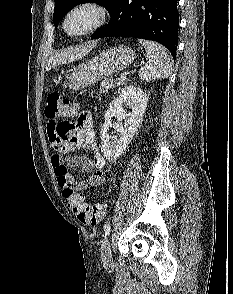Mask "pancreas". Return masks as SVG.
I'll use <instances>...</instances> for the list:
<instances>
[{
    "instance_id": "obj_1",
    "label": "pancreas",
    "mask_w": 233,
    "mask_h": 294,
    "mask_svg": "<svg viewBox=\"0 0 233 294\" xmlns=\"http://www.w3.org/2000/svg\"><path fill=\"white\" fill-rule=\"evenodd\" d=\"M124 82L123 81H117L114 80L112 78L104 80L103 82H101L100 84V92H106L109 89L121 86Z\"/></svg>"
}]
</instances>
